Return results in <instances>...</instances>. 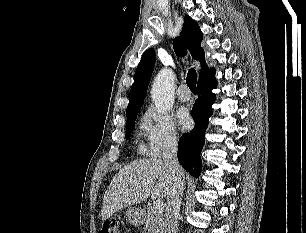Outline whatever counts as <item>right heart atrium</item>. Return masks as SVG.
<instances>
[{"label": "right heart atrium", "mask_w": 306, "mask_h": 233, "mask_svg": "<svg viewBox=\"0 0 306 233\" xmlns=\"http://www.w3.org/2000/svg\"><path fill=\"white\" fill-rule=\"evenodd\" d=\"M146 136V151L151 157H159L162 153L173 149L179 142V134L173 117L168 113H160L150 107L143 118Z\"/></svg>", "instance_id": "right-heart-atrium-1"}]
</instances>
